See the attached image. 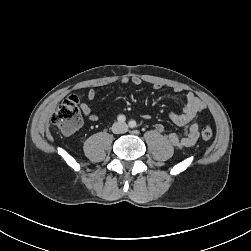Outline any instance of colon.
<instances>
[{
	"instance_id": "obj_1",
	"label": "colon",
	"mask_w": 251,
	"mask_h": 251,
	"mask_svg": "<svg viewBox=\"0 0 251 251\" xmlns=\"http://www.w3.org/2000/svg\"><path fill=\"white\" fill-rule=\"evenodd\" d=\"M80 100L81 98L77 95L69 96L58 106L52 116V123L67 134L75 132L82 124ZM201 138L204 141H210L213 138L211 128L204 127L201 130Z\"/></svg>"
}]
</instances>
